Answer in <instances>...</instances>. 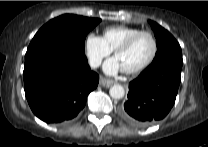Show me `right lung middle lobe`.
Here are the masks:
<instances>
[{
  "instance_id": "dd1d6c3e",
  "label": "right lung middle lobe",
  "mask_w": 208,
  "mask_h": 147,
  "mask_svg": "<svg viewBox=\"0 0 208 147\" xmlns=\"http://www.w3.org/2000/svg\"><path fill=\"white\" fill-rule=\"evenodd\" d=\"M101 19L74 14H64L46 23L35 34L28 48L38 45L65 41L84 51L85 38Z\"/></svg>"
}]
</instances>
